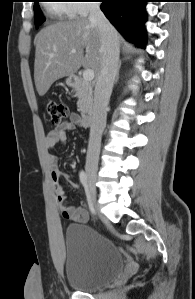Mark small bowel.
I'll list each match as a JSON object with an SVG mask.
<instances>
[{
  "instance_id": "small-bowel-1",
  "label": "small bowel",
  "mask_w": 195,
  "mask_h": 299,
  "mask_svg": "<svg viewBox=\"0 0 195 299\" xmlns=\"http://www.w3.org/2000/svg\"><path fill=\"white\" fill-rule=\"evenodd\" d=\"M80 124V118L77 113H71L66 121H63L56 128L50 131L46 143L49 149H54L59 145H62L67 140L68 132L74 130ZM49 164L51 169V178L54 183V190L56 192L57 201L59 203V209L62 217L84 223L89 219V214L84 207H73L68 205V199L65 195L62 186L59 184V180L64 179L70 182L69 175L59 170L56 160L53 157L49 158Z\"/></svg>"
}]
</instances>
